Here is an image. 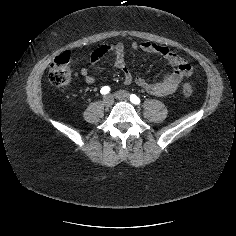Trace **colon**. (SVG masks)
Returning a JSON list of instances; mask_svg holds the SVG:
<instances>
[{
  "instance_id": "1",
  "label": "colon",
  "mask_w": 236,
  "mask_h": 236,
  "mask_svg": "<svg viewBox=\"0 0 236 236\" xmlns=\"http://www.w3.org/2000/svg\"><path fill=\"white\" fill-rule=\"evenodd\" d=\"M70 63V53H63L54 59L48 73V81L52 86L62 87L70 83L72 79ZM192 92V86L189 83H185L183 87L184 95L190 97Z\"/></svg>"
}]
</instances>
